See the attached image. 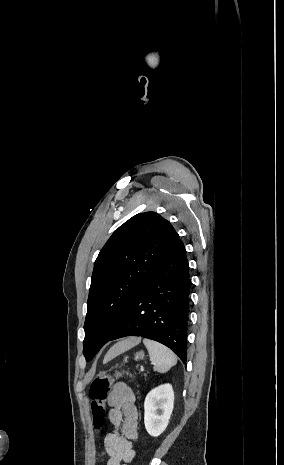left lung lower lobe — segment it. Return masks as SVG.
<instances>
[{"label":"left lung lower lobe","instance_id":"left-lung-lower-lobe-1","mask_svg":"<svg viewBox=\"0 0 284 465\" xmlns=\"http://www.w3.org/2000/svg\"><path fill=\"white\" fill-rule=\"evenodd\" d=\"M190 286L186 251L179 239L134 296L109 340L126 336L152 339L186 363Z\"/></svg>","mask_w":284,"mask_h":465}]
</instances>
